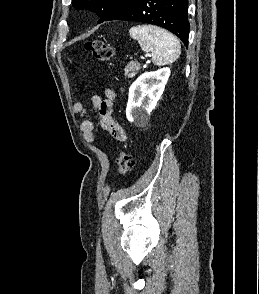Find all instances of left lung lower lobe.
<instances>
[{
  "instance_id": "left-lung-lower-lobe-1",
  "label": "left lung lower lobe",
  "mask_w": 259,
  "mask_h": 294,
  "mask_svg": "<svg viewBox=\"0 0 259 294\" xmlns=\"http://www.w3.org/2000/svg\"><path fill=\"white\" fill-rule=\"evenodd\" d=\"M187 8L188 0H127L104 21L125 20L158 25L174 33L188 46L190 24Z\"/></svg>"
}]
</instances>
